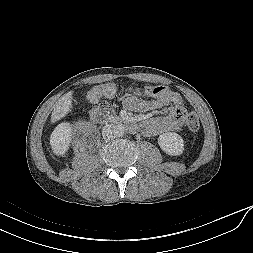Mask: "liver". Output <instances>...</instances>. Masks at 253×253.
Listing matches in <instances>:
<instances>
[{"label": "liver", "instance_id": "6515ba94", "mask_svg": "<svg viewBox=\"0 0 253 253\" xmlns=\"http://www.w3.org/2000/svg\"><path fill=\"white\" fill-rule=\"evenodd\" d=\"M73 92L70 91L64 94L58 102L55 104V107L52 111L51 115V123H55L61 118L65 117L68 112L71 111L72 108V97Z\"/></svg>", "mask_w": 253, "mask_h": 253}]
</instances>
